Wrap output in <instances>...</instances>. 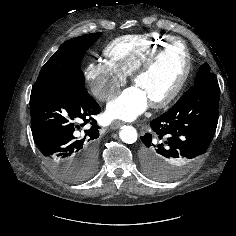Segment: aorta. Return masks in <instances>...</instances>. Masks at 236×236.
Listing matches in <instances>:
<instances>
[{"label": "aorta", "mask_w": 236, "mask_h": 236, "mask_svg": "<svg viewBox=\"0 0 236 236\" xmlns=\"http://www.w3.org/2000/svg\"><path fill=\"white\" fill-rule=\"evenodd\" d=\"M120 139L127 144H133L137 141V130L133 126H123L119 132Z\"/></svg>", "instance_id": "aorta-1"}]
</instances>
